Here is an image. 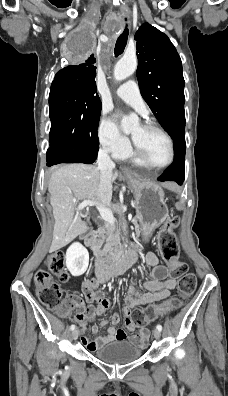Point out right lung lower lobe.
I'll return each instance as SVG.
<instances>
[{
    "instance_id": "98d812e1",
    "label": "right lung lower lobe",
    "mask_w": 228,
    "mask_h": 396,
    "mask_svg": "<svg viewBox=\"0 0 228 396\" xmlns=\"http://www.w3.org/2000/svg\"><path fill=\"white\" fill-rule=\"evenodd\" d=\"M47 166L59 163H80L79 160L59 149L49 148L46 154Z\"/></svg>"
}]
</instances>
